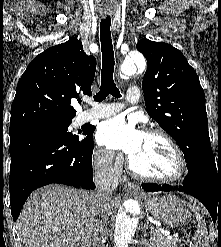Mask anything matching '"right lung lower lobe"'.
I'll return each mask as SVG.
<instances>
[{
  "instance_id": "1",
  "label": "right lung lower lobe",
  "mask_w": 221,
  "mask_h": 247,
  "mask_svg": "<svg viewBox=\"0 0 221 247\" xmlns=\"http://www.w3.org/2000/svg\"><path fill=\"white\" fill-rule=\"evenodd\" d=\"M94 130V127H89L92 135ZM9 134V188L14 221L28 196L39 187L60 183L76 188L95 189L92 137L84 143L71 142L34 128L9 129Z\"/></svg>"
}]
</instances>
